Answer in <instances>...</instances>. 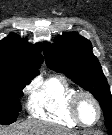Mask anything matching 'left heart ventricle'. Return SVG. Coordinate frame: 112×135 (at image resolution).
<instances>
[{"label": "left heart ventricle", "mask_w": 112, "mask_h": 135, "mask_svg": "<svg viewBox=\"0 0 112 135\" xmlns=\"http://www.w3.org/2000/svg\"><path fill=\"white\" fill-rule=\"evenodd\" d=\"M79 114L85 123L92 124L95 122L97 118V109L89 98L87 97L80 98Z\"/></svg>", "instance_id": "b2bd125f"}]
</instances>
